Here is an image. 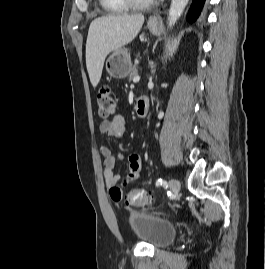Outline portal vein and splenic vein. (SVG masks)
<instances>
[{"label": "portal vein and splenic vein", "mask_w": 265, "mask_h": 269, "mask_svg": "<svg viewBox=\"0 0 265 269\" xmlns=\"http://www.w3.org/2000/svg\"><path fill=\"white\" fill-rule=\"evenodd\" d=\"M139 80H140V77H139V76H136V77L133 78V82H134V83L139 82Z\"/></svg>", "instance_id": "1"}]
</instances>
